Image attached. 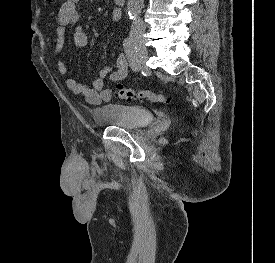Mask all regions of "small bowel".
Wrapping results in <instances>:
<instances>
[{
	"mask_svg": "<svg viewBox=\"0 0 275 263\" xmlns=\"http://www.w3.org/2000/svg\"><path fill=\"white\" fill-rule=\"evenodd\" d=\"M79 0H66L58 10V23L56 27V46L55 55L57 60V70L61 75L67 74V67L64 61L60 58L65 43L66 29L77 23L79 14L77 5ZM111 20L118 22L121 19V11L113 9L111 12ZM88 43L86 32L76 26L73 31V44L77 48H83ZM129 74V63L124 54H119L116 58L115 68L105 66L101 69L98 77H96L90 86L78 82L72 77L66 78V86L74 94L82 96L91 105H100L109 103L112 99V91L105 86L106 79L117 83L125 80Z\"/></svg>",
	"mask_w": 275,
	"mask_h": 263,
	"instance_id": "c3829d8e",
	"label": "small bowel"
}]
</instances>
